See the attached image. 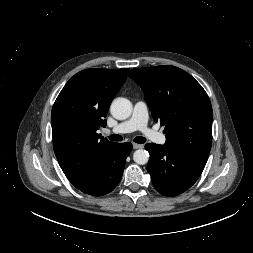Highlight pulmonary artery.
<instances>
[{
    "label": "pulmonary artery",
    "instance_id": "obj_1",
    "mask_svg": "<svg viewBox=\"0 0 253 253\" xmlns=\"http://www.w3.org/2000/svg\"><path fill=\"white\" fill-rule=\"evenodd\" d=\"M137 130L141 131L145 137L155 143L165 144L166 142V138L162 133L148 127V107L143 101L135 103L132 116L127 121L118 124L110 130H106V132L123 134Z\"/></svg>",
    "mask_w": 253,
    "mask_h": 253
}]
</instances>
